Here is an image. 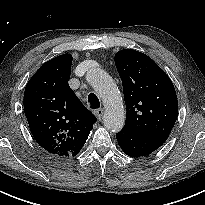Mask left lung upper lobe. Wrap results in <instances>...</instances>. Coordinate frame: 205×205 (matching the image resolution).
<instances>
[{
	"label": "left lung upper lobe",
	"instance_id": "left-lung-upper-lobe-1",
	"mask_svg": "<svg viewBox=\"0 0 205 205\" xmlns=\"http://www.w3.org/2000/svg\"><path fill=\"white\" fill-rule=\"evenodd\" d=\"M127 109L125 129L165 142L176 122L178 101L172 81L147 55L116 53Z\"/></svg>",
	"mask_w": 205,
	"mask_h": 205
}]
</instances>
